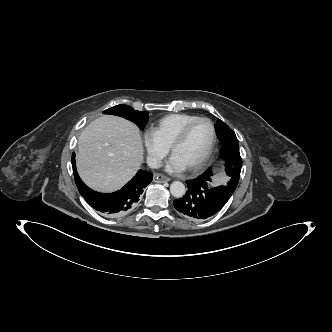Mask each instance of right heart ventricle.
<instances>
[{"instance_id": "e07e8e85", "label": "right heart ventricle", "mask_w": 332, "mask_h": 332, "mask_svg": "<svg viewBox=\"0 0 332 332\" xmlns=\"http://www.w3.org/2000/svg\"><path fill=\"white\" fill-rule=\"evenodd\" d=\"M198 116L192 114L176 113L160 118L151 128L158 140L167 148L177 136L179 131Z\"/></svg>"}]
</instances>
